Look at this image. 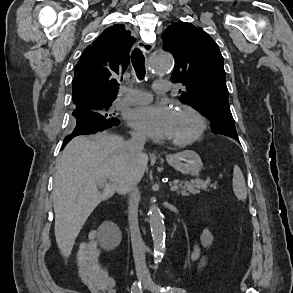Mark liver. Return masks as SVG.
<instances>
[{
    "label": "liver",
    "mask_w": 293,
    "mask_h": 293,
    "mask_svg": "<svg viewBox=\"0 0 293 293\" xmlns=\"http://www.w3.org/2000/svg\"><path fill=\"white\" fill-rule=\"evenodd\" d=\"M126 144L119 136L102 133L77 136L64 148L52 196L56 243L65 257L70 256L92 211L116 192H123L124 177L129 173L138 181L143 177L148 156L131 154Z\"/></svg>",
    "instance_id": "6515ba94"
}]
</instances>
